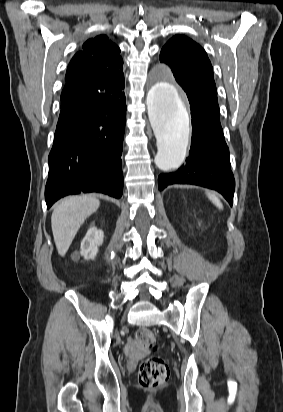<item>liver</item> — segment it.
Returning a JSON list of instances; mask_svg holds the SVG:
<instances>
[{"instance_id": "liver-1", "label": "liver", "mask_w": 283, "mask_h": 412, "mask_svg": "<svg viewBox=\"0 0 283 412\" xmlns=\"http://www.w3.org/2000/svg\"><path fill=\"white\" fill-rule=\"evenodd\" d=\"M99 206L100 201L91 195L69 197L55 206L51 226L60 256H65L80 226Z\"/></svg>"}]
</instances>
